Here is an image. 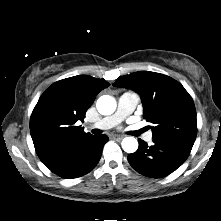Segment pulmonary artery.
<instances>
[{
  "label": "pulmonary artery",
  "instance_id": "1",
  "mask_svg": "<svg viewBox=\"0 0 221 221\" xmlns=\"http://www.w3.org/2000/svg\"><path fill=\"white\" fill-rule=\"evenodd\" d=\"M139 102V96L133 92H125L118 99V105L115 113L96 122L93 127L97 129H110L130 115ZM144 139L151 142L152 133L145 135Z\"/></svg>",
  "mask_w": 221,
  "mask_h": 221
}]
</instances>
